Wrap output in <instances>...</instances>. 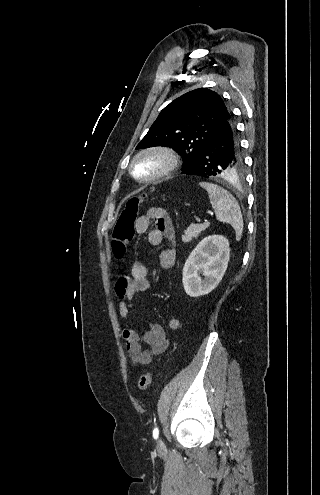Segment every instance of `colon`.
<instances>
[{
    "label": "colon",
    "instance_id": "1",
    "mask_svg": "<svg viewBox=\"0 0 320 495\" xmlns=\"http://www.w3.org/2000/svg\"><path fill=\"white\" fill-rule=\"evenodd\" d=\"M143 198L133 196L127 199L124 208L121 210L112 234V252L118 259L125 256L129 244L134 235V223ZM152 381V373L146 372L138 380V389L145 391Z\"/></svg>",
    "mask_w": 320,
    "mask_h": 495
}]
</instances>
